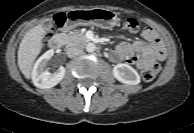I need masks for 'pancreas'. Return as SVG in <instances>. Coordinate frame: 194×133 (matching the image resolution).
Masks as SVG:
<instances>
[{"instance_id": "cf45deb5", "label": "pancreas", "mask_w": 194, "mask_h": 133, "mask_svg": "<svg viewBox=\"0 0 194 133\" xmlns=\"http://www.w3.org/2000/svg\"><path fill=\"white\" fill-rule=\"evenodd\" d=\"M63 39L65 41V44L67 46H76L79 44H83L85 42H87V38L85 37V35L82 32H69L67 34H62Z\"/></svg>"}]
</instances>
